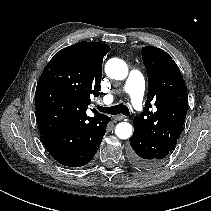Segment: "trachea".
Instances as JSON below:
<instances>
[{"instance_id":"obj_1","label":"trachea","mask_w":211,"mask_h":211,"mask_svg":"<svg viewBox=\"0 0 211 211\" xmlns=\"http://www.w3.org/2000/svg\"><path fill=\"white\" fill-rule=\"evenodd\" d=\"M98 110L102 113L111 114V115H117V114H123L125 116L130 115V111L126 105L123 103L118 104L116 106L111 107H103V106H97Z\"/></svg>"}]
</instances>
